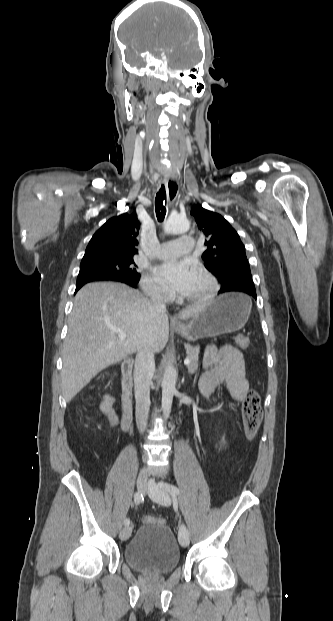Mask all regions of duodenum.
I'll return each instance as SVG.
<instances>
[{
    "label": "duodenum",
    "instance_id": "410a0bca",
    "mask_svg": "<svg viewBox=\"0 0 333 621\" xmlns=\"http://www.w3.org/2000/svg\"><path fill=\"white\" fill-rule=\"evenodd\" d=\"M132 370L133 361L126 360L122 365V419L121 425L124 431H129L133 422L132 409Z\"/></svg>",
    "mask_w": 333,
    "mask_h": 621
}]
</instances>
